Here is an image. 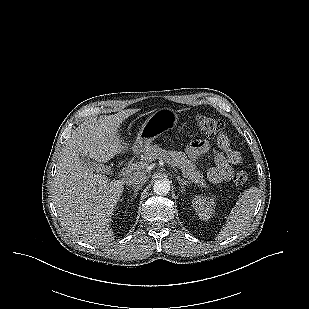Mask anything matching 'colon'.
<instances>
[{"instance_id":"5ec220e1","label":"colon","mask_w":309,"mask_h":309,"mask_svg":"<svg viewBox=\"0 0 309 309\" xmlns=\"http://www.w3.org/2000/svg\"><path fill=\"white\" fill-rule=\"evenodd\" d=\"M195 120L200 130L209 137H219L223 133L224 124L219 120L202 114L196 115ZM248 178V171L242 169L236 173L234 181L237 185L242 186L248 181Z\"/></svg>"}]
</instances>
